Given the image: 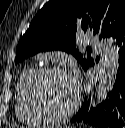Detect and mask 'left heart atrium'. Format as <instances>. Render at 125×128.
Instances as JSON below:
<instances>
[{
  "instance_id": "left-heart-atrium-1",
  "label": "left heart atrium",
  "mask_w": 125,
  "mask_h": 128,
  "mask_svg": "<svg viewBox=\"0 0 125 128\" xmlns=\"http://www.w3.org/2000/svg\"><path fill=\"white\" fill-rule=\"evenodd\" d=\"M69 77L71 79V82H72L74 88L77 90L78 89V81H77V79L75 77H73V76H69Z\"/></svg>"
}]
</instances>
